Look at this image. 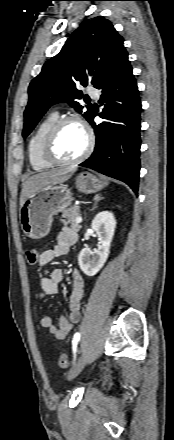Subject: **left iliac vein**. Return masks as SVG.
I'll return each mask as SVG.
<instances>
[{"instance_id": "1", "label": "left iliac vein", "mask_w": 174, "mask_h": 440, "mask_svg": "<svg viewBox=\"0 0 174 440\" xmlns=\"http://www.w3.org/2000/svg\"><path fill=\"white\" fill-rule=\"evenodd\" d=\"M87 358H88V354L87 353H83L80 358L78 359L77 363L74 365V367L68 372L67 374V379L68 380H72L74 379L76 376H78L80 374V372L83 370V368L85 367V364L87 362Z\"/></svg>"}]
</instances>
